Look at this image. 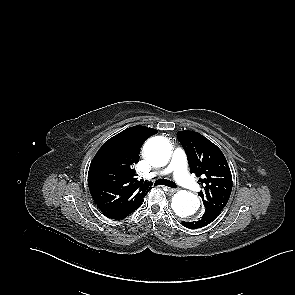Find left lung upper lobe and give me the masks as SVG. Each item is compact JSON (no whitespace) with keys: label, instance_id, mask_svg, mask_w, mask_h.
I'll use <instances>...</instances> for the list:
<instances>
[{"label":"left lung upper lobe","instance_id":"left-lung-upper-lobe-1","mask_svg":"<svg viewBox=\"0 0 295 295\" xmlns=\"http://www.w3.org/2000/svg\"><path fill=\"white\" fill-rule=\"evenodd\" d=\"M178 139L186 151L190 171L195 173L204 191L199 192L206 208L223 210L231 190L232 175L222 151L200 133L179 131Z\"/></svg>","mask_w":295,"mask_h":295}]
</instances>
